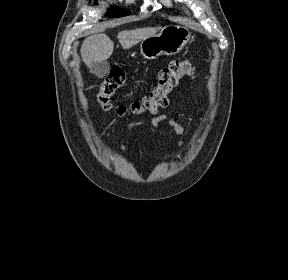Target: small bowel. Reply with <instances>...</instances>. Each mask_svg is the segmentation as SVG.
<instances>
[{"label":"small bowel","mask_w":288,"mask_h":280,"mask_svg":"<svg viewBox=\"0 0 288 280\" xmlns=\"http://www.w3.org/2000/svg\"><path fill=\"white\" fill-rule=\"evenodd\" d=\"M143 124L149 125L151 130H153L154 128L159 127L161 125H166L170 129H172L174 133H176L178 135H183L186 138L189 136V130L185 125L175 121L174 119L170 118L166 114H160V115L154 117L149 122H133L130 125H128V127L126 128V130L124 132H126L127 130H129L132 127H135L138 125H143ZM183 144H184V141H181L179 143L180 146H183Z\"/></svg>","instance_id":"small-bowel-1"}]
</instances>
